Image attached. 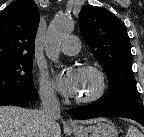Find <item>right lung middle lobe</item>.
<instances>
[{
    "label": "right lung middle lobe",
    "instance_id": "dd1d6c3e",
    "mask_svg": "<svg viewBox=\"0 0 144 137\" xmlns=\"http://www.w3.org/2000/svg\"><path fill=\"white\" fill-rule=\"evenodd\" d=\"M32 56L15 58L0 63V96L15 95L36 100L38 92L32 80Z\"/></svg>",
    "mask_w": 144,
    "mask_h": 137
}]
</instances>
